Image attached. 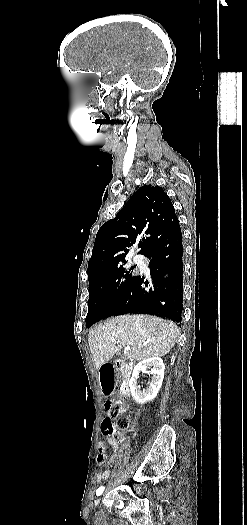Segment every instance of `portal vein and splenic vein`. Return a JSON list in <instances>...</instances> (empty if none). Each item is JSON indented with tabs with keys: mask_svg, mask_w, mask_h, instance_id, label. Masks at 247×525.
Masks as SVG:
<instances>
[{
	"mask_svg": "<svg viewBox=\"0 0 247 525\" xmlns=\"http://www.w3.org/2000/svg\"><path fill=\"white\" fill-rule=\"evenodd\" d=\"M124 351H131V347H125Z\"/></svg>",
	"mask_w": 247,
	"mask_h": 525,
	"instance_id": "1",
	"label": "portal vein and splenic vein"
}]
</instances>
